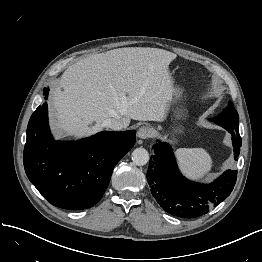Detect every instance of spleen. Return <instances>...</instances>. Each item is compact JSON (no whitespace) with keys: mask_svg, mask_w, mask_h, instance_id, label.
Segmentation results:
<instances>
[{"mask_svg":"<svg viewBox=\"0 0 262 262\" xmlns=\"http://www.w3.org/2000/svg\"><path fill=\"white\" fill-rule=\"evenodd\" d=\"M175 155L181 171L191 179H202L212 168V158L203 148H179Z\"/></svg>","mask_w":262,"mask_h":262,"instance_id":"spleen-1","label":"spleen"}]
</instances>
